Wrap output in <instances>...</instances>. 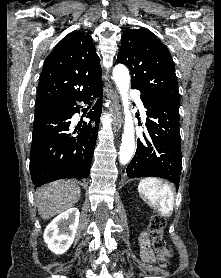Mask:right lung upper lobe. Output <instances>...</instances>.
I'll return each mask as SVG.
<instances>
[{"mask_svg":"<svg viewBox=\"0 0 221 278\" xmlns=\"http://www.w3.org/2000/svg\"><path fill=\"white\" fill-rule=\"evenodd\" d=\"M101 72L91 36L83 31L70 33L56 45L44 63L36 104L93 87L102 82Z\"/></svg>","mask_w":221,"mask_h":278,"instance_id":"obj_1","label":"right lung upper lobe"}]
</instances>
